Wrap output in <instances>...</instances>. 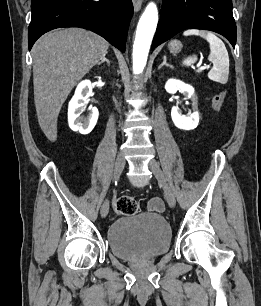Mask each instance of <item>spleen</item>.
<instances>
[{
  "label": "spleen",
  "instance_id": "spleen-1",
  "mask_svg": "<svg viewBox=\"0 0 261 306\" xmlns=\"http://www.w3.org/2000/svg\"><path fill=\"white\" fill-rule=\"evenodd\" d=\"M184 36L197 35L209 42L210 54L208 56L209 61L213 63L212 69L208 73L209 79L225 84L228 81L229 76V56L227 49L215 34L198 29H189L184 31ZM197 61V57L190 56L183 61L184 66H190Z\"/></svg>",
  "mask_w": 261,
  "mask_h": 306
}]
</instances>
